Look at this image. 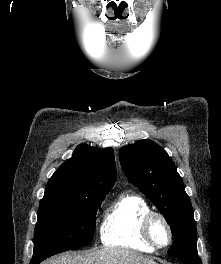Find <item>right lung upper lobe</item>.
<instances>
[{
  "label": "right lung upper lobe",
  "instance_id": "1",
  "mask_svg": "<svg viewBox=\"0 0 221 264\" xmlns=\"http://www.w3.org/2000/svg\"><path fill=\"white\" fill-rule=\"evenodd\" d=\"M116 180V164L111 148L79 145L49 179L44 198L76 199L107 194Z\"/></svg>",
  "mask_w": 221,
  "mask_h": 264
}]
</instances>
